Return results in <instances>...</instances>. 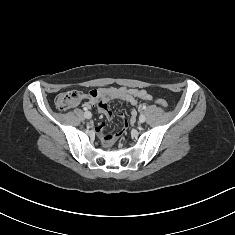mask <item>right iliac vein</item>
<instances>
[{"label": "right iliac vein", "mask_w": 235, "mask_h": 235, "mask_svg": "<svg viewBox=\"0 0 235 235\" xmlns=\"http://www.w3.org/2000/svg\"><path fill=\"white\" fill-rule=\"evenodd\" d=\"M84 116L86 119H90L92 117V114L90 112H86Z\"/></svg>", "instance_id": "63e3f726"}]
</instances>
